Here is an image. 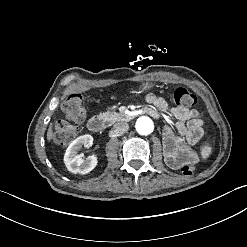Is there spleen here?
I'll use <instances>...</instances> for the list:
<instances>
[{
    "mask_svg": "<svg viewBox=\"0 0 247 247\" xmlns=\"http://www.w3.org/2000/svg\"><path fill=\"white\" fill-rule=\"evenodd\" d=\"M208 152H209L208 149L202 150V154H203L202 156L205 157Z\"/></svg>",
    "mask_w": 247,
    "mask_h": 247,
    "instance_id": "1",
    "label": "spleen"
}]
</instances>
